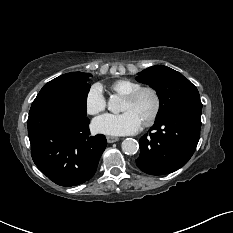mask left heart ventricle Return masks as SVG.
<instances>
[{
    "instance_id": "b2bd125f",
    "label": "left heart ventricle",
    "mask_w": 233,
    "mask_h": 233,
    "mask_svg": "<svg viewBox=\"0 0 233 233\" xmlns=\"http://www.w3.org/2000/svg\"><path fill=\"white\" fill-rule=\"evenodd\" d=\"M154 108V97L150 92H143L135 101L125 100L122 103L121 110L133 111L142 122L150 115Z\"/></svg>"
}]
</instances>
